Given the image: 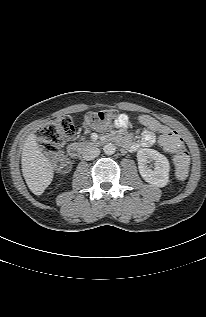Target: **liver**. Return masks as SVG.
I'll return each instance as SVG.
<instances>
[{
  "label": "liver",
  "mask_w": 206,
  "mask_h": 317,
  "mask_svg": "<svg viewBox=\"0 0 206 317\" xmlns=\"http://www.w3.org/2000/svg\"><path fill=\"white\" fill-rule=\"evenodd\" d=\"M21 165L29 189L35 195H41L52 182L54 171L52 164L39 148L34 134H30L25 141Z\"/></svg>",
  "instance_id": "1"
}]
</instances>
